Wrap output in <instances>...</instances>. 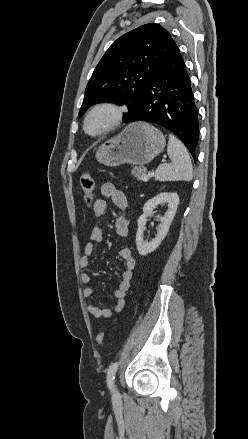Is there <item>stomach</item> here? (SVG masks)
Here are the masks:
<instances>
[{
    "label": "stomach",
    "instance_id": "0dacf381",
    "mask_svg": "<svg viewBox=\"0 0 248 439\" xmlns=\"http://www.w3.org/2000/svg\"><path fill=\"white\" fill-rule=\"evenodd\" d=\"M165 143L164 135L157 128L145 122H135L103 143L96 151V159L110 167L125 163L142 166L161 153Z\"/></svg>",
    "mask_w": 248,
    "mask_h": 439
}]
</instances>
